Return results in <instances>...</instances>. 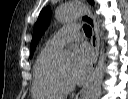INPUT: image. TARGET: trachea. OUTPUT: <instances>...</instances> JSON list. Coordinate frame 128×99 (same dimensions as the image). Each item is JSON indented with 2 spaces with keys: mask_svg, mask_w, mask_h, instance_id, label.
Segmentation results:
<instances>
[{
  "mask_svg": "<svg viewBox=\"0 0 128 99\" xmlns=\"http://www.w3.org/2000/svg\"><path fill=\"white\" fill-rule=\"evenodd\" d=\"M83 29H84V32H85L86 35H91L92 34V29H91L90 26H88V25L85 24L83 26Z\"/></svg>",
  "mask_w": 128,
  "mask_h": 99,
  "instance_id": "obj_1",
  "label": "trachea"
}]
</instances>
